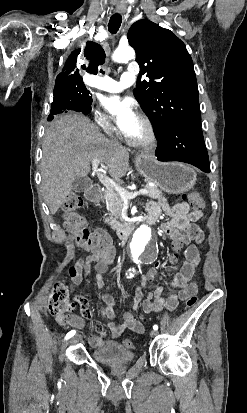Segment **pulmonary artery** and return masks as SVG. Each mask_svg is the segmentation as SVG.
Returning <instances> with one entry per match:
<instances>
[{
    "label": "pulmonary artery",
    "mask_w": 247,
    "mask_h": 413,
    "mask_svg": "<svg viewBox=\"0 0 247 413\" xmlns=\"http://www.w3.org/2000/svg\"><path fill=\"white\" fill-rule=\"evenodd\" d=\"M136 76L130 72L122 73L120 80H115L108 76L86 75L84 83L86 86L105 91L119 92L125 87H129L136 82Z\"/></svg>",
    "instance_id": "e3ab8cb5"
}]
</instances>
